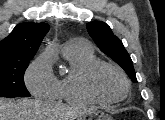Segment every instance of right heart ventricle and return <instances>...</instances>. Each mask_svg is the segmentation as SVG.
Here are the masks:
<instances>
[{"instance_id": "right-heart-ventricle-1", "label": "right heart ventricle", "mask_w": 165, "mask_h": 120, "mask_svg": "<svg viewBox=\"0 0 165 120\" xmlns=\"http://www.w3.org/2000/svg\"><path fill=\"white\" fill-rule=\"evenodd\" d=\"M63 56L68 63V72L58 80L57 91L54 99L68 104H92L82 89V78L85 70L97 61L91 49L89 50H66Z\"/></svg>"}]
</instances>
